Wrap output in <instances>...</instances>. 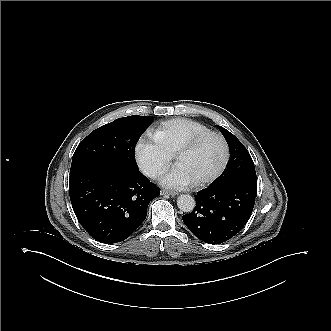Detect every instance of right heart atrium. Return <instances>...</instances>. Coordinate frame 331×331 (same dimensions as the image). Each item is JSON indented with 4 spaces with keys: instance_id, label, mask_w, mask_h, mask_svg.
I'll use <instances>...</instances> for the list:
<instances>
[{
    "instance_id": "obj_1",
    "label": "right heart atrium",
    "mask_w": 331,
    "mask_h": 331,
    "mask_svg": "<svg viewBox=\"0 0 331 331\" xmlns=\"http://www.w3.org/2000/svg\"><path fill=\"white\" fill-rule=\"evenodd\" d=\"M135 160L143 173L151 177H158L169 166V155L163 152L156 142L140 139L135 151Z\"/></svg>"
}]
</instances>
